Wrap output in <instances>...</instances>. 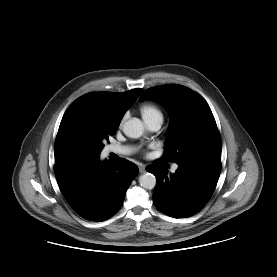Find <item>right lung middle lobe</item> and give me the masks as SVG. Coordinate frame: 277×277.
<instances>
[{
  "instance_id": "dd1d6c3e",
  "label": "right lung middle lobe",
  "mask_w": 277,
  "mask_h": 277,
  "mask_svg": "<svg viewBox=\"0 0 277 277\" xmlns=\"http://www.w3.org/2000/svg\"><path fill=\"white\" fill-rule=\"evenodd\" d=\"M69 121L78 142L92 157H99L103 143L115 134L118 127L91 114L81 105L73 108Z\"/></svg>"
}]
</instances>
